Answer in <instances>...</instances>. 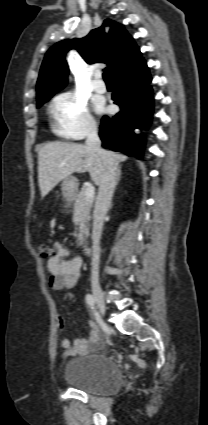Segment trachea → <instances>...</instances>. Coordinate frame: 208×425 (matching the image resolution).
Returning a JSON list of instances; mask_svg holds the SVG:
<instances>
[{
    "label": "trachea",
    "mask_w": 208,
    "mask_h": 425,
    "mask_svg": "<svg viewBox=\"0 0 208 425\" xmlns=\"http://www.w3.org/2000/svg\"><path fill=\"white\" fill-rule=\"evenodd\" d=\"M103 79L105 82H111L110 78L108 77L107 73H103Z\"/></svg>",
    "instance_id": "1"
}]
</instances>
